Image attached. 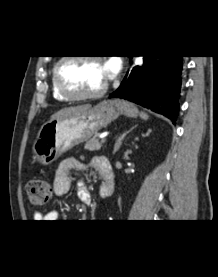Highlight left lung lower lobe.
I'll list each match as a JSON object with an SVG mask.
<instances>
[{
    "label": "left lung lower lobe",
    "instance_id": "0a47b994",
    "mask_svg": "<svg viewBox=\"0 0 218 277\" xmlns=\"http://www.w3.org/2000/svg\"><path fill=\"white\" fill-rule=\"evenodd\" d=\"M183 56H145L142 67L127 72L110 97L124 98L163 114L175 123L179 112Z\"/></svg>",
    "mask_w": 218,
    "mask_h": 277
}]
</instances>
